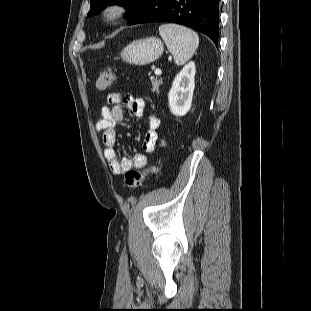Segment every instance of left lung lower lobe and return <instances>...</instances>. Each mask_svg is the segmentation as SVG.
Masks as SVG:
<instances>
[{
  "label": "left lung lower lobe",
  "instance_id": "left-lung-lower-lobe-1",
  "mask_svg": "<svg viewBox=\"0 0 311 311\" xmlns=\"http://www.w3.org/2000/svg\"><path fill=\"white\" fill-rule=\"evenodd\" d=\"M127 24L171 22L206 34L216 45L219 0H143L127 17Z\"/></svg>",
  "mask_w": 311,
  "mask_h": 311
}]
</instances>
